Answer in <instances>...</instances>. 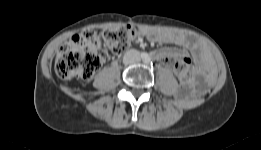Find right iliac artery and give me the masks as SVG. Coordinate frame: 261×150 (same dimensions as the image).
Here are the masks:
<instances>
[{"instance_id":"1","label":"right iliac artery","mask_w":261,"mask_h":150,"mask_svg":"<svg viewBox=\"0 0 261 150\" xmlns=\"http://www.w3.org/2000/svg\"><path fill=\"white\" fill-rule=\"evenodd\" d=\"M146 56H147L146 53H141L142 58H146Z\"/></svg>"}]
</instances>
